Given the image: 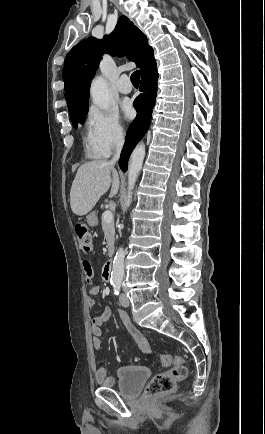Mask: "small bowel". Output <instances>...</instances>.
<instances>
[{
	"instance_id": "small-bowel-1",
	"label": "small bowel",
	"mask_w": 265,
	"mask_h": 434,
	"mask_svg": "<svg viewBox=\"0 0 265 434\" xmlns=\"http://www.w3.org/2000/svg\"><path fill=\"white\" fill-rule=\"evenodd\" d=\"M101 289L99 286H93L87 296H86V305L89 309H92L95 305V297L99 295ZM112 316V312L110 308H104L102 313L99 316L93 317L91 321V331L93 335V347L95 350L99 351L101 349V337L103 334V326L106 322L110 320ZM120 317L122 318L128 332L131 335L132 342L137 345L139 348L143 350H148V341L141 334L139 329L135 327L130 319L128 318V314L123 311L120 312ZM95 380L100 383L102 387H112L113 380L112 378H107V371L102 366L100 361L96 362V368L94 371Z\"/></svg>"
}]
</instances>
